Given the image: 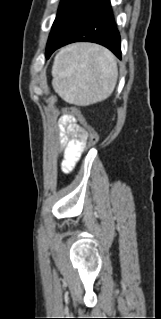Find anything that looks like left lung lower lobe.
Listing matches in <instances>:
<instances>
[{
  "instance_id": "obj_1",
  "label": "left lung lower lobe",
  "mask_w": 161,
  "mask_h": 319,
  "mask_svg": "<svg viewBox=\"0 0 161 319\" xmlns=\"http://www.w3.org/2000/svg\"><path fill=\"white\" fill-rule=\"evenodd\" d=\"M94 42L121 58L120 34L114 22L109 0H102L83 17L64 37L46 48V58L58 48L73 42Z\"/></svg>"
}]
</instances>
